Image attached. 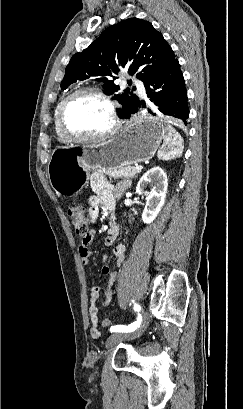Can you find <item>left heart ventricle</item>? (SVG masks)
Returning a JSON list of instances; mask_svg holds the SVG:
<instances>
[{"instance_id": "1", "label": "left heart ventricle", "mask_w": 243, "mask_h": 409, "mask_svg": "<svg viewBox=\"0 0 243 409\" xmlns=\"http://www.w3.org/2000/svg\"><path fill=\"white\" fill-rule=\"evenodd\" d=\"M110 123L106 104L91 95H80L74 98L65 114L66 127L75 134H97L106 130Z\"/></svg>"}]
</instances>
